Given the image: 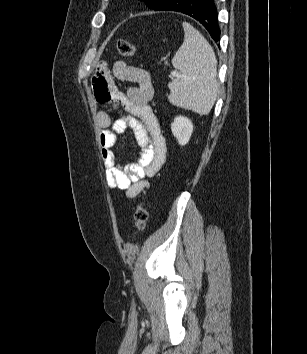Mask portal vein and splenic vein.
Listing matches in <instances>:
<instances>
[{"instance_id":"portal-vein-and-splenic-vein-1","label":"portal vein and splenic vein","mask_w":307,"mask_h":354,"mask_svg":"<svg viewBox=\"0 0 307 354\" xmlns=\"http://www.w3.org/2000/svg\"><path fill=\"white\" fill-rule=\"evenodd\" d=\"M171 75H172L173 77H175V76H178V73L172 72Z\"/></svg>"}]
</instances>
